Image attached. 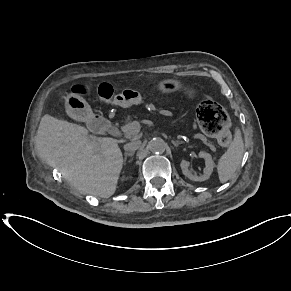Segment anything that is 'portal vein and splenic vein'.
<instances>
[{
	"mask_svg": "<svg viewBox=\"0 0 291 291\" xmlns=\"http://www.w3.org/2000/svg\"><path fill=\"white\" fill-rule=\"evenodd\" d=\"M140 122L133 121L122 127V131L127 134H137L140 131Z\"/></svg>",
	"mask_w": 291,
	"mask_h": 291,
	"instance_id": "portal-vein-and-splenic-vein-1",
	"label": "portal vein and splenic vein"
}]
</instances>
